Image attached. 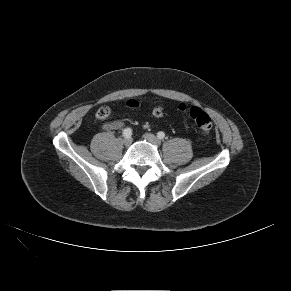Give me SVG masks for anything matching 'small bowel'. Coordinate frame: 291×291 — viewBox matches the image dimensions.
<instances>
[{"mask_svg":"<svg viewBox=\"0 0 291 291\" xmlns=\"http://www.w3.org/2000/svg\"><path fill=\"white\" fill-rule=\"evenodd\" d=\"M123 126H124L123 121H121V120H116V121L111 122V123L108 125V128H110V129H121Z\"/></svg>","mask_w":291,"mask_h":291,"instance_id":"1","label":"small bowel"}]
</instances>
